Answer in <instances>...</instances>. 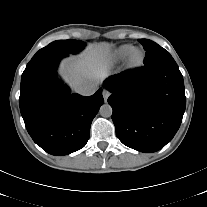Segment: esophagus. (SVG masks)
Masks as SVG:
<instances>
[{
	"mask_svg": "<svg viewBox=\"0 0 207 207\" xmlns=\"http://www.w3.org/2000/svg\"><path fill=\"white\" fill-rule=\"evenodd\" d=\"M102 95H103L104 100L107 101V99L110 96V92L108 90L104 89L102 92Z\"/></svg>",
	"mask_w": 207,
	"mask_h": 207,
	"instance_id": "obj_1",
	"label": "esophagus"
}]
</instances>
